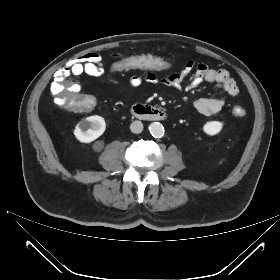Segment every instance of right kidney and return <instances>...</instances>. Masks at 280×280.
Here are the masks:
<instances>
[{"instance_id":"1","label":"right kidney","mask_w":280,"mask_h":280,"mask_svg":"<svg viewBox=\"0 0 280 280\" xmlns=\"http://www.w3.org/2000/svg\"><path fill=\"white\" fill-rule=\"evenodd\" d=\"M105 129L104 118L95 115L81 120L74 129V135L80 142L90 143L100 137Z\"/></svg>"}]
</instances>
